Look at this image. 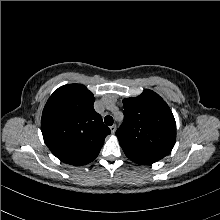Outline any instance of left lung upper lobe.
Returning <instances> with one entry per match:
<instances>
[{"instance_id": "1", "label": "left lung upper lobe", "mask_w": 220, "mask_h": 220, "mask_svg": "<svg viewBox=\"0 0 220 220\" xmlns=\"http://www.w3.org/2000/svg\"><path fill=\"white\" fill-rule=\"evenodd\" d=\"M124 121L116 131L126 156L148 165L168 155L175 145L176 124L166 102L146 89L135 98L123 100Z\"/></svg>"}]
</instances>
